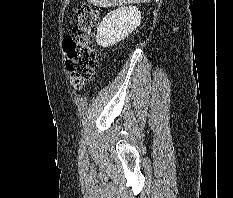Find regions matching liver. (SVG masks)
Returning <instances> with one entry per match:
<instances>
[{"instance_id": "liver-1", "label": "liver", "mask_w": 233, "mask_h": 198, "mask_svg": "<svg viewBox=\"0 0 233 198\" xmlns=\"http://www.w3.org/2000/svg\"><path fill=\"white\" fill-rule=\"evenodd\" d=\"M88 3L97 7L108 8L125 6L127 4L150 3L152 0H87Z\"/></svg>"}]
</instances>
